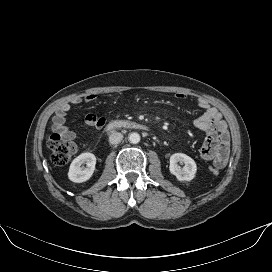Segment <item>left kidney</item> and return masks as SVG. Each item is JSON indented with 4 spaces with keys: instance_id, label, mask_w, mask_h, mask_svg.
Instances as JSON below:
<instances>
[{
    "instance_id": "obj_1",
    "label": "left kidney",
    "mask_w": 272,
    "mask_h": 272,
    "mask_svg": "<svg viewBox=\"0 0 272 272\" xmlns=\"http://www.w3.org/2000/svg\"><path fill=\"white\" fill-rule=\"evenodd\" d=\"M178 163H183L184 166L181 168ZM169 171L178 181H191L195 177L197 166L188 155L175 153L170 157Z\"/></svg>"
}]
</instances>
